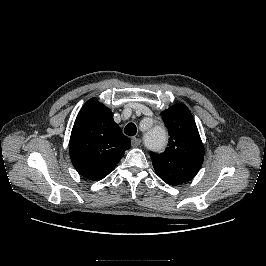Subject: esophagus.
Masks as SVG:
<instances>
[{
	"label": "esophagus",
	"mask_w": 266,
	"mask_h": 266,
	"mask_svg": "<svg viewBox=\"0 0 266 266\" xmlns=\"http://www.w3.org/2000/svg\"><path fill=\"white\" fill-rule=\"evenodd\" d=\"M140 143H141V140L139 138H137V137H133L131 139V144H132L133 147L139 146Z\"/></svg>",
	"instance_id": "1"
}]
</instances>
